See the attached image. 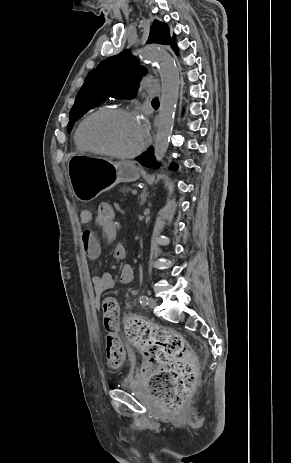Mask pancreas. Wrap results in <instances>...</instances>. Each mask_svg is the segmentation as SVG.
I'll return each mask as SVG.
<instances>
[{
  "instance_id": "pancreas-1",
  "label": "pancreas",
  "mask_w": 291,
  "mask_h": 463,
  "mask_svg": "<svg viewBox=\"0 0 291 463\" xmlns=\"http://www.w3.org/2000/svg\"><path fill=\"white\" fill-rule=\"evenodd\" d=\"M131 190L132 189L129 186H126V185L119 188V192L121 194H123V196H128Z\"/></svg>"
}]
</instances>
